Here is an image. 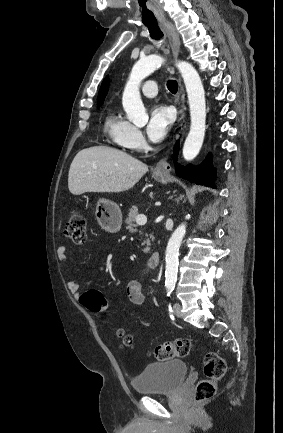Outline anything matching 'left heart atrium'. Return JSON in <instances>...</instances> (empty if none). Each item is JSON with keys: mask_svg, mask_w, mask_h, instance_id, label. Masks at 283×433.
I'll list each match as a JSON object with an SVG mask.
<instances>
[{"mask_svg": "<svg viewBox=\"0 0 283 433\" xmlns=\"http://www.w3.org/2000/svg\"><path fill=\"white\" fill-rule=\"evenodd\" d=\"M172 123L171 111L168 107L156 104L151 108L146 133L152 143L161 142L167 135Z\"/></svg>", "mask_w": 283, "mask_h": 433, "instance_id": "1", "label": "left heart atrium"}]
</instances>
